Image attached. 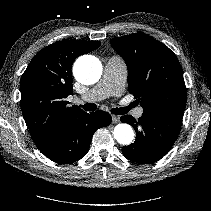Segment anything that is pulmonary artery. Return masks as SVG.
Instances as JSON below:
<instances>
[{
    "label": "pulmonary artery",
    "mask_w": 211,
    "mask_h": 211,
    "mask_svg": "<svg viewBox=\"0 0 211 211\" xmlns=\"http://www.w3.org/2000/svg\"><path fill=\"white\" fill-rule=\"evenodd\" d=\"M127 78L126 65L119 57H111L104 66L102 81L82 97L83 100H102L110 95H119ZM136 117L143 115V108L139 107L134 112Z\"/></svg>",
    "instance_id": "1"
}]
</instances>
